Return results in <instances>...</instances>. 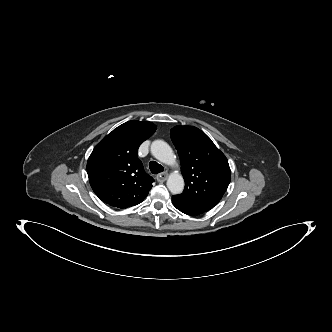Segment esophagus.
<instances>
[{
  "label": "esophagus",
  "mask_w": 332,
  "mask_h": 332,
  "mask_svg": "<svg viewBox=\"0 0 332 332\" xmlns=\"http://www.w3.org/2000/svg\"><path fill=\"white\" fill-rule=\"evenodd\" d=\"M167 177H168V173L163 172V173H161L157 176V181L158 182H164L167 179Z\"/></svg>",
  "instance_id": "1"
}]
</instances>
